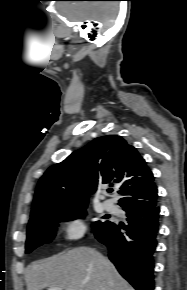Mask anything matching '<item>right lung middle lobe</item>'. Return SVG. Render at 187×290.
I'll return each mask as SVG.
<instances>
[{
	"instance_id": "obj_1",
	"label": "right lung middle lobe",
	"mask_w": 187,
	"mask_h": 290,
	"mask_svg": "<svg viewBox=\"0 0 187 290\" xmlns=\"http://www.w3.org/2000/svg\"><path fill=\"white\" fill-rule=\"evenodd\" d=\"M86 207L87 206L78 209L51 212L28 224L26 253H30L42 244L49 243L55 236L58 222H61L62 219L73 220L85 217ZM108 223H110V221L94 222L93 232L98 231Z\"/></svg>"
}]
</instances>
